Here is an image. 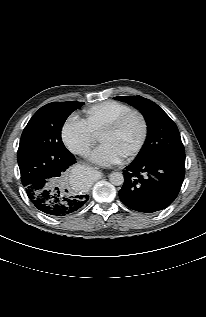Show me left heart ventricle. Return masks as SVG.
I'll return each instance as SVG.
<instances>
[{
    "label": "left heart ventricle",
    "instance_id": "left-heart-ventricle-1",
    "mask_svg": "<svg viewBox=\"0 0 206 317\" xmlns=\"http://www.w3.org/2000/svg\"><path fill=\"white\" fill-rule=\"evenodd\" d=\"M141 121L137 116L130 117L118 130L100 134V141L115 147L122 155H126L139 141Z\"/></svg>",
    "mask_w": 206,
    "mask_h": 317
}]
</instances>
